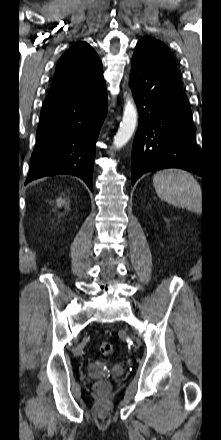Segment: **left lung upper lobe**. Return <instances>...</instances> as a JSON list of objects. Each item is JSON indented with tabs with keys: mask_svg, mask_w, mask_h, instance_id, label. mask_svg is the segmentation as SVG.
Returning a JSON list of instances; mask_svg holds the SVG:
<instances>
[{
	"mask_svg": "<svg viewBox=\"0 0 221 440\" xmlns=\"http://www.w3.org/2000/svg\"><path fill=\"white\" fill-rule=\"evenodd\" d=\"M135 52L140 53L154 69L179 80L173 55L162 42L149 36L144 37L137 43Z\"/></svg>",
	"mask_w": 221,
	"mask_h": 440,
	"instance_id": "1",
	"label": "left lung upper lobe"
}]
</instances>
